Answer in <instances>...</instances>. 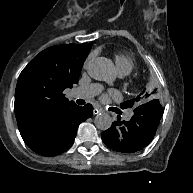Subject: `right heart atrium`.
I'll return each mask as SVG.
<instances>
[{
  "instance_id": "1",
  "label": "right heart atrium",
  "mask_w": 193,
  "mask_h": 193,
  "mask_svg": "<svg viewBox=\"0 0 193 193\" xmlns=\"http://www.w3.org/2000/svg\"><path fill=\"white\" fill-rule=\"evenodd\" d=\"M89 60H90V58L86 59V61L84 62V68H87V66L89 64Z\"/></svg>"
}]
</instances>
